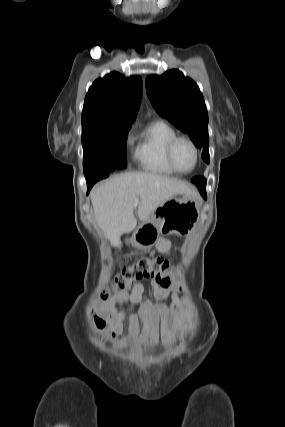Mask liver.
I'll list each match as a JSON object with an SVG mask.
<instances>
[{"label": "liver", "mask_w": 285, "mask_h": 427, "mask_svg": "<svg viewBox=\"0 0 285 427\" xmlns=\"http://www.w3.org/2000/svg\"><path fill=\"white\" fill-rule=\"evenodd\" d=\"M195 196L191 186L168 176L148 172H128L114 176L94 188L91 202L94 217L113 246L124 233L136 228L135 198H139L137 214L145 222L168 199L176 195Z\"/></svg>", "instance_id": "6515ba94"}]
</instances>
